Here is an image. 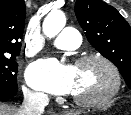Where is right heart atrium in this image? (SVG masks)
<instances>
[{
  "mask_svg": "<svg viewBox=\"0 0 131 115\" xmlns=\"http://www.w3.org/2000/svg\"><path fill=\"white\" fill-rule=\"evenodd\" d=\"M25 96L29 99H41L44 97V94L39 91H34L29 88L24 89Z\"/></svg>",
  "mask_w": 131,
  "mask_h": 115,
  "instance_id": "right-heart-atrium-1",
  "label": "right heart atrium"
}]
</instances>
